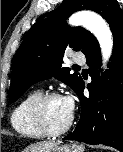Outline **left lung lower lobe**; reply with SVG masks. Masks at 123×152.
<instances>
[{
    "label": "left lung lower lobe",
    "instance_id": "0a47b994",
    "mask_svg": "<svg viewBox=\"0 0 123 152\" xmlns=\"http://www.w3.org/2000/svg\"><path fill=\"white\" fill-rule=\"evenodd\" d=\"M106 21L114 37L109 69L101 79L100 48L96 40L84 53L92 77L87 85L89 96L83 95L85 85L81 80L76 90L81 102V118L75 130L63 140L105 144L123 152V10L117 8Z\"/></svg>",
    "mask_w": 123,
    "mask_h": 152
}]
</instances>
